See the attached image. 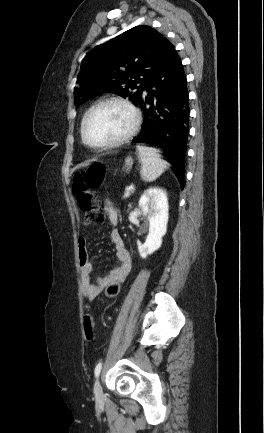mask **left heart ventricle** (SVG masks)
Returning a JSON list of instances; mask_svg holds the SVG:
<instances>
[{
  "mask_svg": "<svg viewBox=\"0 0 264 433\" xmlns=\"http://www.w3.org/2000/svg\"><path fill=\"white\" fill-rule=\"evenodd\" d=\"M131 123L132 116L125 107L107 104L90 116L86 124V135L94 144L111 141L122 136Z\"/></svg>",
  "mask_w": 264,
  "mask_h": 433,
  "instance_id": "b2bd125f",
  "label": "left heart ventricle"
}]
</instances>
